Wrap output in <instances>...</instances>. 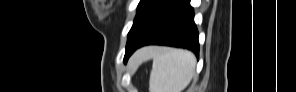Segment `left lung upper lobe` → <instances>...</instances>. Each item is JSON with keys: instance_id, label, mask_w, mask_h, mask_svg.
Masks as SVG:
<instances>
[{"instance_id": "1", "label": "left lung upper lobe", "mask_w": 296, "mask_h": 92, "mask_svg": "<svg viewBox=\"0 0 296 92\" xmlns=\"http://www.w3.org/2000/svg\"><path fill=\"white\" fill-rule=\"evenodd\" d=\"M170 0H141L133 26L128 33L126 52L151 30Z\"/></svg>"}]
</instances>
